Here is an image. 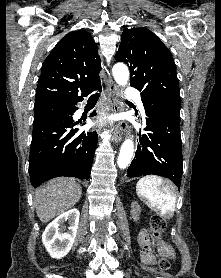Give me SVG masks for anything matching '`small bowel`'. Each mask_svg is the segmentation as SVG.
I'll use <instances>...</instances> for the list:
<instances>
[{"mask_svg":"<svg viewBox=\"0 0 221 278\" xmlns=\"http://www.w3.org/2000/svg\"><path fill=\"white\" fill-rule=\"evenodd\" d=\"M139 245L141 247V257L145 264L151 265L155 263V255L150 249V236L146 229L139 234ZM168 254L173 257L174 254L169 247H166Z\"/></svg>","mask_w":221,"mask_h":278,"instance_id":"c3829d8e","label":"small bowel"}]
</instances>
